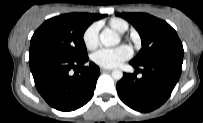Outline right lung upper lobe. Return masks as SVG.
I'll use <instances>...</instances> for the list:
<instances>
[{
    "label": "right lung upper lobe",
    "instance_id": "obj_1",
    "mask_svg": "<svg viewBox=\"0 0 203 123\" xmlns=\"http://www.w3.org/2000/svg\"><path fill=\"white\" fill-rule=\"evenodd\" d=\"M85 15L92 22L95 21V20H98V19H101V18L105 17V15H102V14H89V13H85Z\"/></svg>",
    "mask_w": 203,
    "mask_h": 123
}]
</instances>
